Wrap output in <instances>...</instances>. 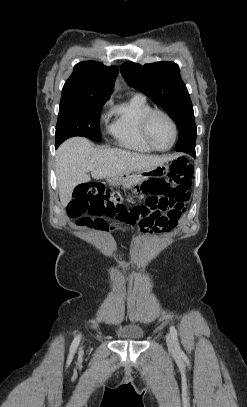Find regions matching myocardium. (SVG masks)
<instances>
[{"instance_id": "obj_1", "label": "myocardium", "mask_w": 247, "mask_h": 407, "mask_svg": "<svg viewBox=\"0 0 247 407\" xmlns=\"http://www.w3.org/2000/svg\"><path fill=\"white\" fill-rule=\"evenodd\" d=\"M155 115H161V116L165 117L172 125V128H173V140H172L171 144L167 148H159V147H157L150 138L149 124H150L151 119ZM140 128H141L142 137H143L144 141L146 142V144L152 150L158 151V152H165V151L170 150L174 146V144L176 143V140H177V137H178V127H177V124H176L175 120L173 119V117L170 114H168L167 112H165L163 110H160V109H151L149 112H147L143 116V118L141 120Z\"/></svg>"}]
</instances>
